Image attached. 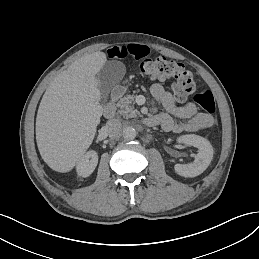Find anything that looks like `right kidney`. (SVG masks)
<instances>
[{
  "mask_svg": "<svg viewBox=\"0 0 259 259\" xmlns=\"http://www.w3.org/2000/svg\"><path fill=\"white\" fill-rule=\"evenodd\" d=\"M98 163V155L95 151L90 150L85 153L77 162L76 171L78 176L88 177L95 170Z\"/></svg>",
  "mask_w": 259,
  "mask_h": 259,
  "instance_id": "obj_1",
  "label": "right kidney"
}]
</instances>
